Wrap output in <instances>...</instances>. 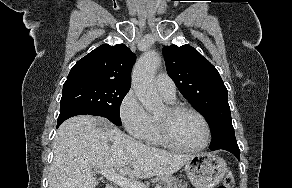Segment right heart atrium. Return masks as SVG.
I'll return each instance as SVG.
<instances>
[{"instance_id": "obj_1", "label": "right heart atrium", "mask_w": 292, "mask_h": 188, "mask_svg": "<svg viewBox=\"0 0 292 188\" xmlns=\"http://www.w3.org/2000/svg\"><path fill=\"white\" fill-rule=\"evenodd\" d=\"M119 116L123 126L133 138L144 139L151 125V117L133 90H129L121 100Z\"/></svg>"}]
</instances>
